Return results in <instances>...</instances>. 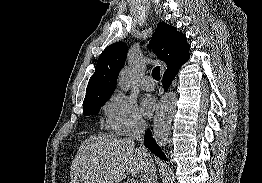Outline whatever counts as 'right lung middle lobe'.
<instances>
[{"label":"right lung middle lobe","instance_id":"right-lung-middle-lobe-1","mask_svg":"<svg viewBox=\"0 0 262 183\" xmlns=\"http://www.w3.org/2000/svg\"><path fill=\"white\" fill-rule=\"evenodd\" d=\"M110 97L107 98H102V99H97L93 101H87L83 102V114L85 116L87 115H97L98 112L101 109V106L109 99Z\"/></svg>","mask_w":262,"mask_h":183}]
</instances>
